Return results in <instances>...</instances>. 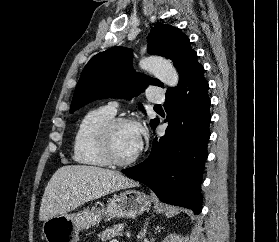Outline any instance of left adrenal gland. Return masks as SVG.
<instances>
[{
  "mask_svg": "<svg viewBox=\"0 0 279 242\" xmlns=\"http://www.w3.org/2000/svg\"><path fill=\"white\" fill-rule=\"evenodd\" d=\"M147 226H148V223H145L143 229H142L141 232H140L141 239L144 238V237L146 236V233H147Z\"/></svg>",
  "mask_w": 279,
  "mask_h": 242,
  "instance_id": "obj_1",
  "label": "left adrenal gland"
}]
</instances>
